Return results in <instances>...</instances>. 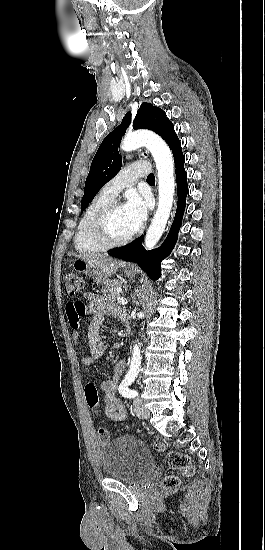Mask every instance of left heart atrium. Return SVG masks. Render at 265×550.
<instances>
[{"label":"left heart atrium","mask_w":265,"mask_h":550,"mask_svg":"<svg viewBox=\"0 0 265 550\" xmlns=\"http://www.w3.org/2000/svg\"><path fill=\"white\" fill-rule=\"evenodd\" d=\"M133 232L139 230L147 218L148 202L136 193L128 196L123 206Z\"/></svg>","instance_id":"1"}]
</instances>
